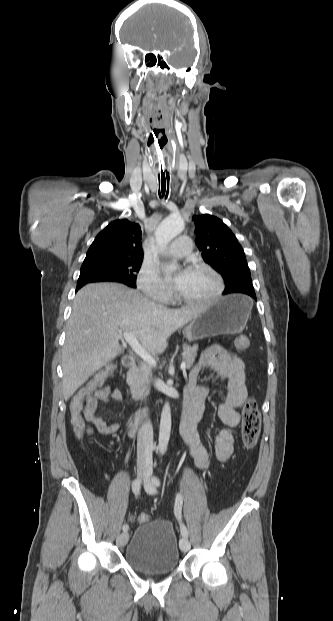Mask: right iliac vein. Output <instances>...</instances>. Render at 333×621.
Returning a JSON list of instances; mask_svg holds the SVG:
<instances>
[{"instance_id": "right-iliac-vein-1", "label": "right iliac vein", "mask_w": 333, "mask_h": 621, "mask_svg": "<svg viewBox=\"0 0 333 621\" xmlns=\"http://www.w3.org/2000/svg\"><path fill=\"white\" fill-rule=\"evenodd\" d=\"M147 475V469L143 465H139L137 469V477L139 480H144ZM129 539V533L124 532L121 533L116 540V543L119 547H124Z\"/></svg>"}]
</instances>
